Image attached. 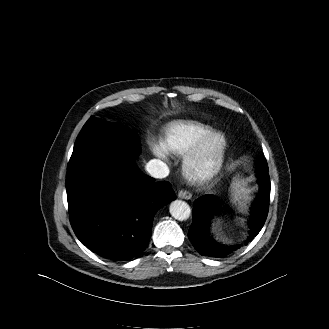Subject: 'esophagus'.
<instances>
[{
  "label": "esophagus",
  "instance_id": "34e87169",
  "mask_svg": "<svg viewBox=\"0 0 329 329\" xmlns=\"http://www.w3.org/2000/svg\"><path fill=\"white\" fill-rule=\"evenodd\" d=\"M178 197L181 198V199H186V200H189L192 198V194L189 192V191H186V190H180L178 192Z\"/></svg>",
  "mask_w": 329,
  "mask_h": 329
}]
</instances>
